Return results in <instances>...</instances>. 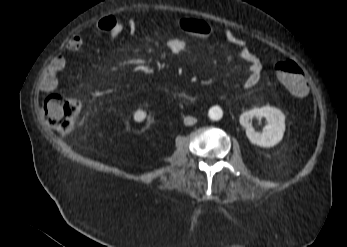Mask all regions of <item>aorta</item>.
I'll return each instance as SVG.
<instances>
[{
  "label": "aorta",
  "instance_id": "1",
  "mask_svg": "<svg viewBox=\"0 0 347 247\" xmlns=\"http://www.w3.org/2000/svg\"><path fill=\"white\" fill-rule=\"evenodd\" d=\"M209 118L212 119V120H220L222 118V115H223V112L222 110L217 107V108H211L209 110Z\"/></svg>",
  "mask_w": 347,
  "mask_h": 247
}]
</instances>
